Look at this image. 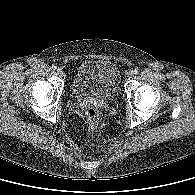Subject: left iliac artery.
<instances>
[{
    "instance_id": "44dca946",
    "label": "left iliac artery",
    "mask_w": 195,
    "mask_h": 195,
    "mask_svg": "<svg viewBox=\"0 0 195 195\" xmlns=\"http://www.w3.org/2000/svg\"><path fill=\"white\" fill-rule=\"evenodd\" d=\"M138 72V69H134L133 74H137Z\"/></svg>"
}]
</instances>
